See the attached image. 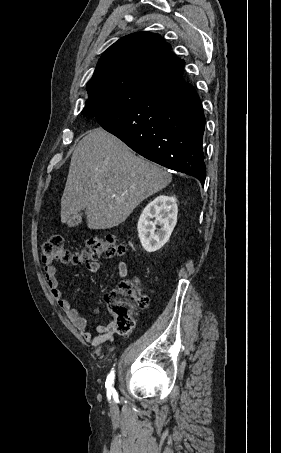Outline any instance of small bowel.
<instances>
[{
  "label": "small bowel",
  "instance_id": "small-bowel-1",
  "mask_svg": "<svg viewBox=\"0 0 281 453\" xmlns=\"http://www.w3.org/2000/svg\"><path fill=\"white\" fill-rule=\"evenodd\" d=\"M87 269L90 272H97L99 270V264L97 262H88ZM43 272L51 296L58 300L64 313L75 324L76 328L81 331L82 337L89 341L94 347H99L103 343L111 342L115 325L112 322H109L97 326L94 330H87L88 319L80 315L71 301L64 296L62 288L56 279V269L50 261L44 262ZM117 272L120 278H125L128 273L127 263L123 261L119 262ZM100 310V306H95L93 308L94 313H99Z\"/></svg>",
  "mask_w": 281,
  "mask_h": 453
}]
</instances>
